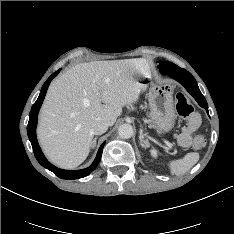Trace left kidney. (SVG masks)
Returning a JSON list of instances; mask_svg holds the SVG:
<instances>
[{"instance_id":"5707ae66","label":"left kidney","mask_w":234,"mask_h":234,"mask_svg":"<svg viewBox=\"0 0 234 234\" xmlns=\"http://www.w3.org/2000/svg\"><path fill=\"white\" fill-rule=\"evenodd\" d=\"M150 153H151V156H152L153 158H157V156H158V151H157L156 149H151V150H150Z\"/></svg>"}]
</instances>
